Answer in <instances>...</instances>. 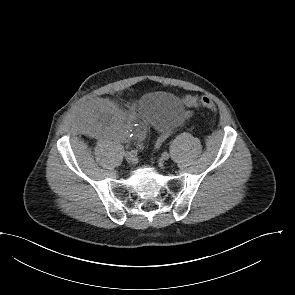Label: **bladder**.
<instances>
[{
  "mask_svg": "<svg viewBox=\"0 0 295 295\" xmlns=\"http://www.w3.org/2000/svg\"><path fill=\"white\" fill-rule=\"evenodd\" d=\"M182 102L166 92H150L139 101L138 112L148 118L159 131H169L179 125L183 117Z\"/></svg>",
  "mask_w": 295,
  "mask_h": 295,
  "instance_id": "1",
  "label": "bladder"
}]
</instances>
